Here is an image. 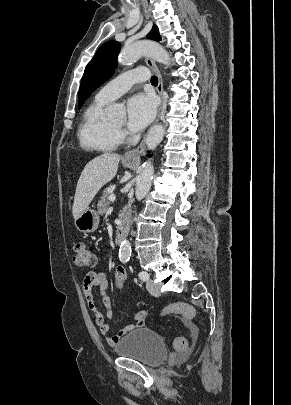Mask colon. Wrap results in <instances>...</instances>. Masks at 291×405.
<instances>
[{"mask_svg": "<svg viewBox=\"0 0 291 405\" xmlns=\"http://www.w3.org/2000/svg\"><path fill=\"white\" fill-rule=\"evenodd\" d=\"M73 264L76 267H94L97 263V257L94 250L85 242H78L73 248ZM114 281L118 290L123 291L126 286L127 275L122 266H118L114 273ZM163 314H177L186 321L191 322L195 318V310L192 306L184 303L171 304L164 308ZM173 346L177 350H185L188 342L184 337H177L173 341Z\"/></svg>", "mask_w": 291, "mask_h": 405, "instance_id": "colon-1", "label": "colon"}]
</instances>
